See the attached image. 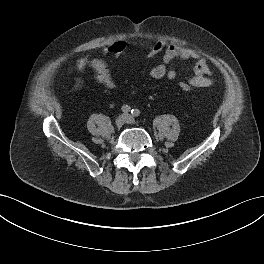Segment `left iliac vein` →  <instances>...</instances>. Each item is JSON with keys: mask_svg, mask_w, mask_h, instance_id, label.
<instances>
[{"mask_svg": "<svg viewBox=\"0 0 264 264\" xmlns=\"http://www.w3.org/2000/svg\"><path fill=\"white\" fill-rule=\"evenodd\" d=\"M126 116V122L129 124H133L135 123V119L134 117H132L131 115H125Z\"/></svg>", "mask_w": 264, "mask_h": 264, "instance_id": "obj_1", "label": "left iliac vein"}]
</instances>
